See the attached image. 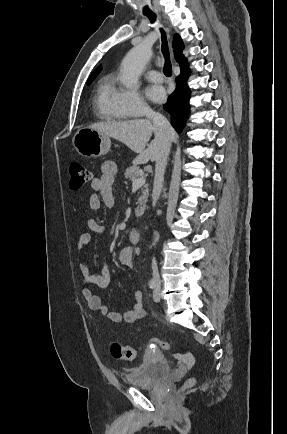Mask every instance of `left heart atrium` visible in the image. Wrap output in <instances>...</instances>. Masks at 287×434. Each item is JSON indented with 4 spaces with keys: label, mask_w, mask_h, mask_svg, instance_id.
Listing matches in <instances>:
<instances>
[{
    "label": "left heart atrium",
    "mask_w": 287,
    "mask_h": 434,
    "mask_svg": "<svg viewBox=\"0 0 287 434\" xmlns=\"http://www.w3.org/2000/svg\"><path fill=\"white\" fill-rule=\"evenodd\" d=\"M147 96L154 102H161L165 98V90L160 85H152L147 88Z\"/></svg>",
    "instance_id": "left-heart-atrium-1"
}]
</instances>
